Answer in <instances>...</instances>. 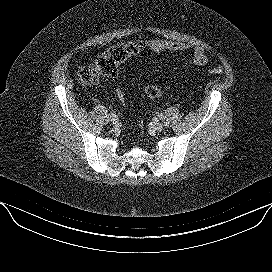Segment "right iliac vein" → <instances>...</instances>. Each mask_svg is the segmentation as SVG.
Returning <instances> with one entry per match:
<instances>
[{
	"instance_id": "1",
	"label": "right iliac vein",
	"mask_w": 272,
	"mask_h": 272,
	"mask_svg": "<svg viewBox=\"0 0 272 272\" xmlns=\"http://www.w3.org/2000/svg\"><path fill=\"white\" fill-rule=\"evenodd\" d=\"M110 121L113 124H116L118 122V119L116 117H110Z\"/></svg>"
}]
</instances>
